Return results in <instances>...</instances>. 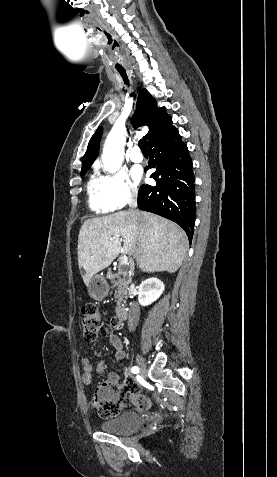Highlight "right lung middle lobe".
<instances>
[{
    "mask_svg": "<svg viewBox=\"0 0 277 477\" xmlns=\"http://www.w3.org/2000/svg\"><path fill=\"white\" fill-rule=\"evenodd\" d=\"M87 170H88V169H83V170H81V177L84 176V174L86 173Z\"/></svg>",
    "mask_w": 277,
    "mask_h": 477,
    "instance_id": "right-lung-middle-lobe-1",
    "label": "right lung middle lobe"
}]
</instances>
